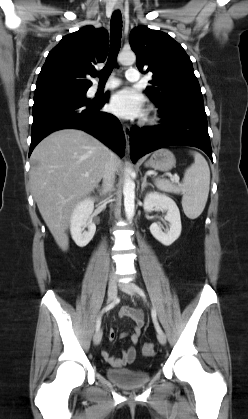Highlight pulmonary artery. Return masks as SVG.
Here are the masks:
<instances>
[{
  "mask_svg": "<svg viewBox=\"0 0 248 419\" xmlns=\"http://www.w3.org/2000/svg\"><path fill=\"white\" fill-rule=\"evenodd\" d=\"M125 77L130 82H138L140 80V74L136 67H129L126 71ZM120 81L115 78H111L105 85V89H113L119 86Z\"/></svg>",
  "mask_w": 248,
  "mask_h": 419,
  "instance_id": "obj_1",
  "label": "pulmonary artery"
}]
</instances>
